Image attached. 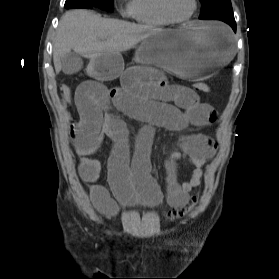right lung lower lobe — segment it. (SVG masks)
Wrapping results in <instances>:
<instances>
[{"label":"right lung lower lobe","instance_id":"obj_1","mask_svg":"<svg viewBox=\"0 0 279 279\" xmlns=\"http://www.w3.org/2000/svg\"><path fill=\"white\" fill-rule=\"evenodd\" d=\"M65 7L66 8H93V6H91L90 4L80 2V1L65 4Z\"/></svg>","mask_w":279,"mask_h":279}]
</instances>
